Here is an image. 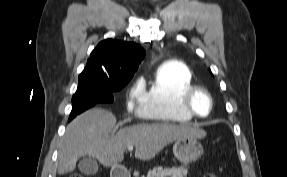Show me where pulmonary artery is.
<instances>
[{"label": "pulmonary artery", "mask_w": 287, "mask_h": 177, "mask_svg": "<svg viewBox=\"0 0 287 177\" xmlns=\"http://www.w3.org/2000/svg\"><path fill=\"white\" fill-rule=\"evenodd\" d=\"M169 62H173V60H169Z\"/></svg>", "instance_id": "1"}]
</instances>
